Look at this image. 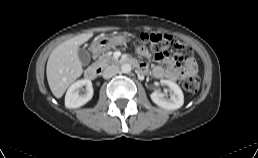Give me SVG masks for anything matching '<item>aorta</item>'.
<instances>
[{"instance_id": "aorta-1", "label": "aorta", "mask_w": 258, "mask_h": 158, "mask_svg": "<svg viewBox=\"0 0 258 158\" xmlns=\"http://www.w3.org/2000/svg\"><path fill=\"white\" fill-rule=\"evenodd\" d=\"M131 71V65L128 63H124L121 65V72L122 73H129Z\"/></svg>"}]
</instances>
